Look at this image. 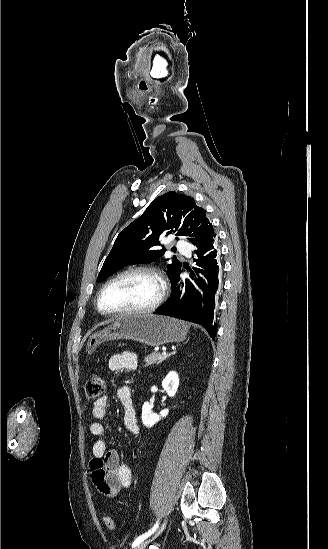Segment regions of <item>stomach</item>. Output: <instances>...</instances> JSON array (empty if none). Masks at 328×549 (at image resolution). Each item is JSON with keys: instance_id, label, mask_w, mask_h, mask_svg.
<instances>
[{"instance_id": "obj_1", "label": "stomach", "mask_w": 328, "mask_h": 549, "mask_svg": "<svg viewBox=\"0 0 328 549\" xmlns=\"http://www.w3.org/2000/svg\"><path fill=\"white\" fill-rule=\"evenodd\" d=\"M188 331L187 323L173 317L152 315V313H130V315L118 317L102 331L90 335L86 353L93 355L101 343L116 341V339H132L149 347H159L166 343H182Z\"/></svg>"}]
</instances>
